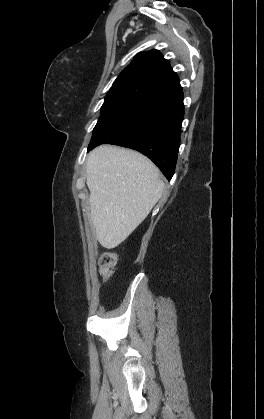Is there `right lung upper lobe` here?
I'll return each instance as SVG.
<instances>
[{
	"label": "right lung upper lobe",
	"instance_id": "cb5924a9",
	"mask_svg": "<svg viewBox=\"0 0 264 419\" xmlns=\"http://www.w3.org/2000/svg\"><path fill=\"white\" fill-rule=\"evenodd\" d=\"M113 86L129 87L152 98L182 90L177 74L158 50L138 54Z\"/></svg>",
	"mask_w": 264,
	"mask_h": 419
}]
</instances>
